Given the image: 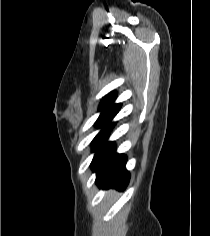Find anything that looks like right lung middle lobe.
Listing matches in <instances>:
<instances>
[{
  "mask_svg": "<svg viewBox=\"0 0 210 236\" xmlns=\"http://www.w3.org/2000/svg\"><path fill=\"white\" fill-rule=\"evenodd\" d=\"M113 101H102L100 104V110L102 113L95 125L100 126L104 121H106L109 117H111L114 113H116L120 109V104H113Z\"/></svg>",
  "mask_w": 210,
  "mask_h": 236,
  "instance_id": "right-lung-middle-lobe-1",
  "label": "right lung middle lobe"
}]
</instances>
